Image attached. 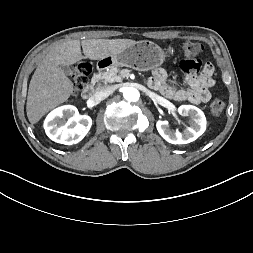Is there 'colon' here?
Masks as SVG:
<instances>
[{
	"label": "colon",
	"mask_w": 253,
	"mask_h": 253,
	"mask_svg": "<svg viewBox=\"0 0 253 253\" xmlns=\"http://www.w3.org/2000/svg\"><path fill=\"white\" fill-rule=\"evenodd\" d=\"M205 46L201 42L188 41L182 46L183 59L195 58L203 53ZM92 72V66L88 61L79 62L73 70L72 83L73 93L77 95L81 92L88 84L89 76ZM210 112L214 116H220L223 114L225 109V103L220 98H213L209 105Z\"/></svg>",
	"instance_id": "1"
}]
</instances>
